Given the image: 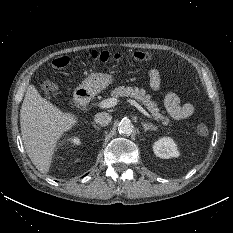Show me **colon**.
<instances>
[{"instance_id": "obj_1", "label": "colon", "mask_w": 233, "mask_h": 233, "mask_svg": "<svg viewBox=\"0 0 233 233\" xmlns=\"http://www.w3.org/2000/svg\"><path fill=\"white\" fill-rule=\"evenodd\" d=\"M86 57L101 63L119 62L122 60V56L118 53L112 54L106 51H91L86 53ZM134 61H146L150 59V54L144 51H137L130 57ZM70 62L68 56H60L52 61V67L55 69H62L66 67ZM58 86L52 79H46L44 82V92L47 96H54L57 92ZM197 133L201 137H207L209 130L205 123H199L197 126Z\"/></svg>"}]
</instances>
